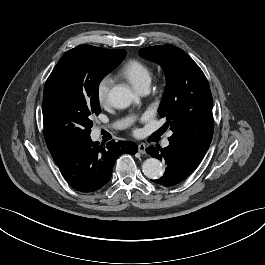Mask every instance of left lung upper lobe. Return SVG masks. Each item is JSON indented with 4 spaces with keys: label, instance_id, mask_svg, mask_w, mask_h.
<instances>
[{
    "label": "left lung upper lobe",
    "instance_id": "left-lung-upper-lobe-1",
    "mask_svg": "<svg viewBox=\"0 0 265 265\" xmlns=\"http://www.w3.org/2000/svg\"><path fill=\"white\" fill-rule=\"evenodd\" d=\"M139 54L165 70L166 92L158 111L173 132L169 146L197 166L214 130L213 100L204 73L187 53L172 45L142 48Z\"/></svg>",
    "mask_w": 265,
    "mask_h": 265
}]
</instances>
